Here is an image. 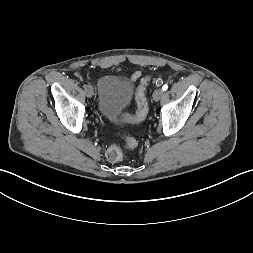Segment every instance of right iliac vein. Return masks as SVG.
<instances>
[{
    "label": "right iliac vein",
    "instance_id": "right-iliac-vein-1",
    "mask_svg": "<svg viewBox=\"0 0 253 253\" xmlns=\"http://www.w3.org/2000/svg\"><path fill=\"white\" fill-rule=\"evenodd\" d=\"M84 92L86 94L87 97H92L94 94L93 88L91 85H87L86 88L84 89Z\"/></svg>",
    "mask_w": 253,
    "mask_h": 253
}]
</instances>
